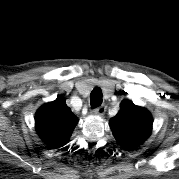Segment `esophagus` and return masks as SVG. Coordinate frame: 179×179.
<instances>
[{
	"instance_id": "esophagus-1",
	"label": "esophagus",
	"mask_w": 179,
	"mask_h": 179,
	"mask_svg": "<svg viewBox=\"0 0 179 179\" xmlns=\"http://www.w3.org/2000/svg\"><path fill=\"white\" fill-rule=\"evenodd\" d=\"M106 111V106L101 105L92 110V114L102 116Z\"/></svg>"
}]
</instances>
